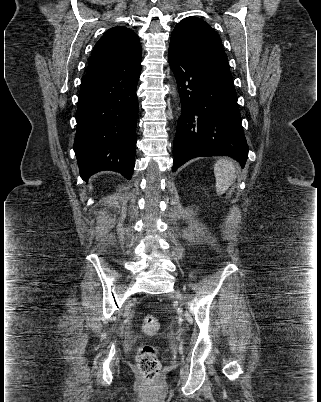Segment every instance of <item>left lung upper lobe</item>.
Here are the masks:
<instances>
[{
  "label": "left lung upper lobe",
  "instance_id": "obj_1",
  "mask_svg": "<svg viewBox=\"0 0 321 402\" xmlns=\"http://www.w3.org/2000/svg\"><path fill=\"white\" fill-rule=\"evenodd\" d=\"M169 47L190 59L229 68L219 35L200 18L181 20L172 32Z\"/></svg>",
  "mask_w": 321,
  "mask_h": 402
}]
</instances>
